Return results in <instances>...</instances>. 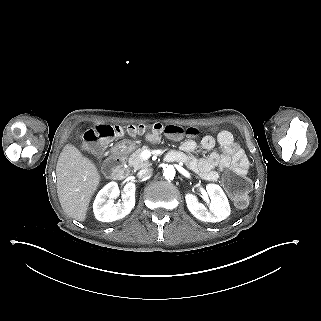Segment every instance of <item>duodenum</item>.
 <instances>
[{
	"label": "duodenum",
	"instance_id": "1",
	"mask_svg": "<svg viewBox=\"0 0 321 321\" xmlns=\"http://www.w3.org/2000/svg\"><path fill=\"white\" fill-rule=\"evenodd\" d=\"M166 161H178V155L174 152L165 157ZM104 172L113 179L120 178L124 173V156L119 149H114L104 163Z\"/></svg>",
	"mask_w": 321,
	"mask_h": 321
}]
</instances>
